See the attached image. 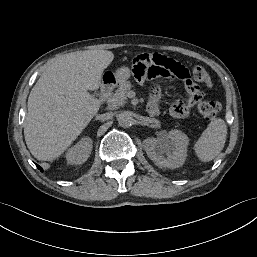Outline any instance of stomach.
Returning <instances> with one entry per match:
<instances>
[{"mask_svg": "<svg viewBox=\"0 0 257 257\" xmlns=\"http://www.w3.org/2000/svg\"><path fill=\"white\" fill-rule=\"evenodd\" d=\"M131 74L128 67H121L113 74L112 83L121 84L130 78Z\"/></svg>", "mask_w": 257, "mask_h": 257, "instance_id": "obj_1", "label": "stomach"}]
</instances>
